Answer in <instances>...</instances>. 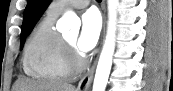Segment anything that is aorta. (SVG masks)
<instances>
[{
    "label": "aorta",
    "mask_w": 173,
    "mask_h": 91,
    "mask_svg": "<svg viewBox=\"0 0 173 91\" xmlns=\"http://www.w3.org/2000/svg\"><path fill=\"white\" fill-rule=\"evenodd\" d=\"M119 0H108V28L105 43L99 58L92 91H105L112 66V58L115 49L117 6ZM80 20L74 12H67L57 28L61 31L70 29L71 33H77Z\"/></svg>",
    "instance_id": "obj_1"
}]
</instances>
